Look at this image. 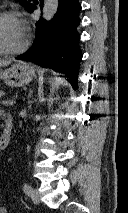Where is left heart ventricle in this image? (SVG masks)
<instances>
[{
    "mask_svg": "<svg viewBox=\"0 0 128 213\" xmlns=\"http://www.w3.org/2000/svg\"><path fill=\"white\" fill-rule=\"evenodd\" d=\"M25 30L17 18H6L0 22V45L7 49H15L25 40Z\"/></svg>",
    "mask_w": 128,
    "mask_h": 213,
    "instance_id": "1",
    "label": "left heart ventricle"
}]
</instances>
